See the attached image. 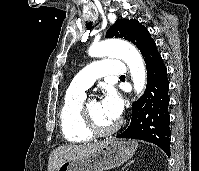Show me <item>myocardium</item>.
<instances>
[{"label":"myocardium","mask_w":199,"mask_h":171,"mask_svg":"<svg viewBox=\"0 0 199 171\" xmlns=\"http://www.w3.org/2000/svg\"><path fill=\"white\" fill-rule=\"evenodd\" d=\"M83 112L86 120V126L94 135L112 134L120 128V122H115L110 126L99 125L88 108V102H83Z\"/></svg>","instance_id":"obj_1"}]
</instances>
